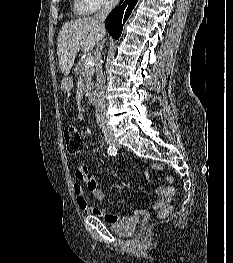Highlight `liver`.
Returning a JSON list of instances; mask_svg holds the SVG:
<instances>
[{
  "mask_svg": "<svg viewBox=\"0 0 233 263\" xmlns=\"http://www.w3.org/2000/svg\"><path fill=\"white\" fill-rule=\"evenodd\" d=\"M100 39V31L91 17L66 22L59 32L57 41V55L62 73L67 76L77 53L80 50L88 53Z\"/></svg>",
  "mask_w": 233,
  "mask_h": 263,
  "instance_id": "obj_1",
  "label": "liver"
}]
</instances>
